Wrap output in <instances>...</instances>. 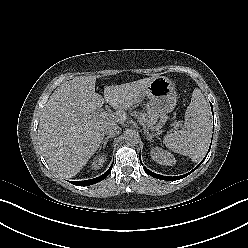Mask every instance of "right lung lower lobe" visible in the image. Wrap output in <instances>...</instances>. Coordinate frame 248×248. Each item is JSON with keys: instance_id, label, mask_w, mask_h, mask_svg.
I'll use <instances>...</instances> for the list:
<instances>
[{"instance_id": "1", "label": "right lung lower lobe", "mask_w": 248, "mask_h": 248, "mask_svg": "<svg viewBox=\"0 0 248 248\" xmlns=\"http://www.w3.org/2000/svg\"><path fill=\"white\" fill-rule=\"evenodd\" d=\"M113 167V164L111 165V167L107 170V172H105L103 175L94 178V179H90V180H85V181H72V184L76 185V186H88V185H92L95 184L97 182H100L102 180H104L109 173L111 172V169Z\"/></svg>"}]
</instances>
